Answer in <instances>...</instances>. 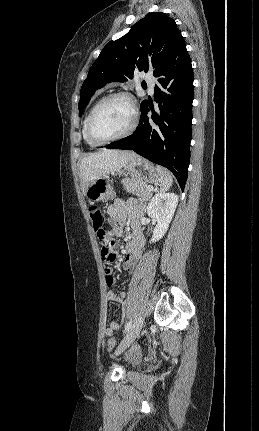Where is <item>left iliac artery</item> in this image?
<instances>
[{"mask_svg":"<svg viewBox=\"0 0 259 431\" xmlns=\"http://www.w3.org/2000/svg\"><path fill=\"white\" fill-rule=\"evenodd\" d=\"M132 326V321H129L126 325H125V332H127Z\"/></svg>","mask_w":259,"mask_h":431,"instance_id":"44dca946","label":"left iliac artery"}]
</instances>
